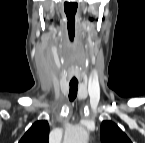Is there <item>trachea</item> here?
<instances>
[{"label":"trachea","instance_id":"3493384b","mask_svg":"<svg viewBox=\"0 0 145 143\" xmlns=\"http://www.w3.org/2000/svg\"><path fill=\"white\" fill-rule=\"evenodd\" d=\"M78 91V83L77 82H70V89H69V100L74 101L77 96Z\"/></svg>","mask_w":145,"mask_h":143}]
</instances>
